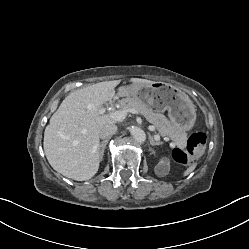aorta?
Listing matches in <instances>:
<instances>
[{"mask_svg": "<svg viewBox=\"0 0 249 249\" xmlns=\"http://www.w3.org/2000/svg\"><path fill=\"white\" fill-rule=\"evenodd\" d=\"M130 132L136 142L143 143L146 140V134L141 128L132 127Z\"/></svg>", "mask_w": 249, "mask_h": 249, "instance_id": "obj_1", "label": "aorta"}]
</instances>
